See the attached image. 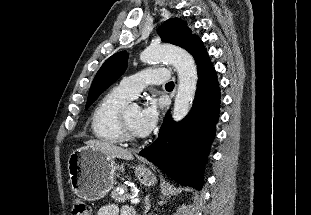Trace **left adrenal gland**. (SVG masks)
<instances>
[{"label": "left adrenal gland", "instance_id": "obj_1", "mask_svg": "<svg viewBox=\"0 0 311 215\" xmlns=\"http://www.w3.org/2000/svg\"><path fill=\"white\" fill-rule=\"evenodd\" d=\"M151 208V204H150V201H149V197L147 196L145 198V210H144V215L147 214V212L150 210Z\"/></svg>", "mask_w": 311, "mask_h": 215}]
</instances>
